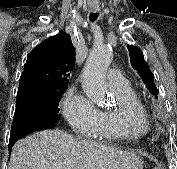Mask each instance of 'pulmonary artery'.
Here are the masks:
<instances>
[{"mask_svg": "<svg viewBox=\"0 0 177 169\" xmlns=\"http://www.w3.org/2000/svg\"><path fill=\"white\" fill-rule=\"evenodd\" d=\"M107 78L113 91H121L127 89L129 81L120 73L118 69H110L107 73Z\"/></svg>", "mask_w": 177, "mask_h": 169, "instance_id": "e3ab8cb5", "label": "pulmonary artery"}]
</instances>
